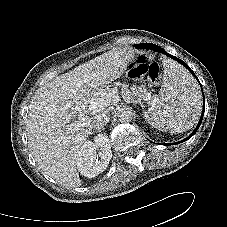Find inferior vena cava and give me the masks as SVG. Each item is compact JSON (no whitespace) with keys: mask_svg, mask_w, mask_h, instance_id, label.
Instances as JSON below:
<instances>
[{"mask_svg":"<svg viewBox=\"0 0 227 227\" xmlns=\"http://www.w3.org/2000/svg\"><path fill=\"white\" fill-rule=\"evenodd\" d=\"M110 118L106 113L98 114L92 121V128L95 131H101L102 128L109 122Z\"/></svg>","mask_w":227,"mask_h":227,"instance_id":"obj_1","label":"inferior vena cava"}]
</instances>
